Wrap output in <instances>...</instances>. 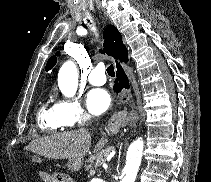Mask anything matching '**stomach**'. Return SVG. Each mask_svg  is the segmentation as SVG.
Masks as SVG:
<instances>
[{
  "label": "stomach",
  "mask_w": 211,
  "mask_h": 182,
  "mask_svg": "<svg viewBox=\"0 0 211 182\" xmlns=\"http://www.w3.org/2000/svg\"><path fill=\"white\" fill-rule=\"evenodd\" d=\"M82 165H83L82 159H70L67 163L68 169L72 172L78 171Z\"/></svg>",
  "instance_id": "stomach-1"
}]
</instances>
